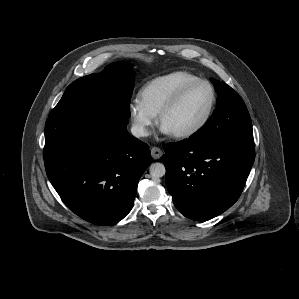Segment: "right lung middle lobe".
Segmentation results:
<instances>
[{
    "label": "right lung middle lobe",
    "instance_id": "dd1d6c3e",
    "mask_svg": "<svg viewBox=\"0 0 299 299\" xmlns=\"http://www.w3.org/2000/svg\"><path fill=\"white\" fill-rule=\"evenodd\" d=\"M132 66L118 62L70 84L48 118H71L97 107H110L130 117V99L134 88Z\"/></svg>",
    "mask_w": 299,
    "mask_h": 299
}]
</instances>
